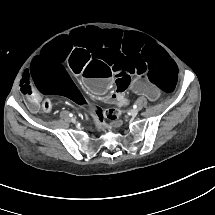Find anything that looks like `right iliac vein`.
<instances>
[{
	"mask_svg": "<svg viewBox=\"0 0 215 215\" xmlns=\"http://www.w3.org/2000/svg\"><path fill=\"white\" fill-rule=\"evenodd\" d=\"M71 122L75 123L76 122L75 118H71Z\"/></svg>",
	"mask_w": 215,
	"mask_h": 215,
	"instance_id": "right-iliac-vein-1",
	"label": "right iliac vein"
}]
</instances>
